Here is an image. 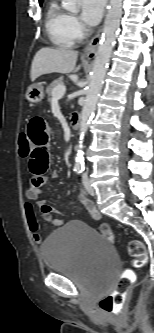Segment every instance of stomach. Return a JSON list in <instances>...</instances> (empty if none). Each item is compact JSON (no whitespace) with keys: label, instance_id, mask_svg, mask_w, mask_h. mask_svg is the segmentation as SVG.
I'll list each match as a JSON object with an SVG mask.
<instances>
[{"label":"stomach","instance_id":"1","mask_svg":"<svg viewBox=\"0 0 154 333\" xmlns=\"http://www.w3.org/2000/svg\"><path fill=\"white\" fill-rule=\"evenodd\" d=\"M44 98V88L40 83L30 85L26 92V99L30 103H39Z\"/></svg>","mask_w":154,"mask_h":333}]
</instances>
